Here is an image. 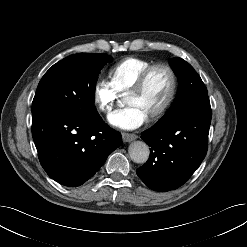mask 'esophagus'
Here are the masks:
<instances>
[{"label":"esophagus","instance_id":"1","mask_svg":"<svg viewBox=\"0 0 247 247\" xmlns=\"http://www.w3.org/2000/svg\"><path fill=\"white\" fill-rule=\"evenodd\" d=\"M121 135H122V139L124 142H131V141L137 139V135H135L133 133L123 132Z\"/></svg>","mask_w":247,"mask_h":247}]
</instances>
